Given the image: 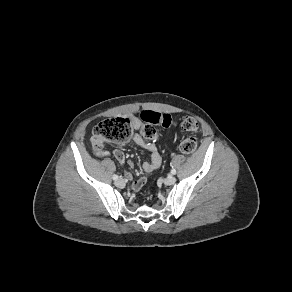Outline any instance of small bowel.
Instances as JSON below:
<instances>
[{
	"label": "small bowel",
	"instance_id": "c3829d8e",
	"mask_svg": "<svg viewBox=\"0 0 292 292\" xmlns=\"http://www.w3.org/2000/svg\"><path fill=\"white\" fill-rule=\"evenodd\" d=\"M127 118L131 120L133 128L139 132L132 135L133 142L137 144L138 146L146 149L150 153L149 159L145 161L142 166L143 171L146 173H149L161 165V162H162L161 153L159 149L157 148V146L141 133V130H142L141 120L135 115H129ZM104 154L105 152H103L102 155ZM112 155L120 164L122 165L127 164L129 167L133 166L132 161L126 160V156L122 150L115 149L112 152ZM125 177L129 180H133V174L130 171H125ZM145 183H146V178L144 176L139 177L132 181L131 188L134 191H139L145 185Z\"/></svg>",
	"mask_w": 292,
	"mask_h": 292
}]
</instances>
